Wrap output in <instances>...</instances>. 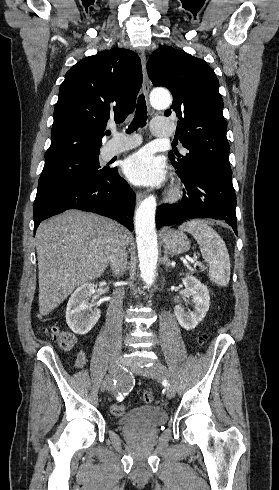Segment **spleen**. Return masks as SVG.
Instances as JSON below:
<instances>
[{
    "instance_id": "obj_1",
    "label": "spleen",
    "mask_w": 279,
    "mask_h": 490,
    "mask_svg": "<svg viewBox=\"0 0 279 490\" xmlns=\"http://www.w3.org/2000/svg\"><path fill=\"white\" fill-rule=\"evenodd\" d=\"M189 232L199 244L200 252L209 266V278L217 286L226 288L230 282L231 264L228 250L219 234L203 220H191L179 226Z\"/></svg>"
}]
</instances>
